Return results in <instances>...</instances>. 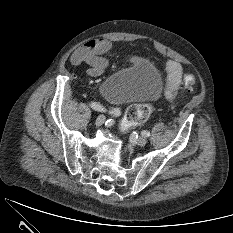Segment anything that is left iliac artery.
Returning a JSON list of instances; mask_svg holds the SVG:
<instances>
[{"mask_svg":"<svg viewBox=\"0 0 233 233\" xmlns=\"http://www.w3.org/2000/svg\"><path fill=\"white\" fill-rule=\"evenodd\" d=\"M143 136H145V137H149L150 136V132H148V131H142V133H141Z\"/></svg>","mask_w":233,"mask_h":233,"instance_id":"obj_1","label":"left iliac artery"}]
</instances>
